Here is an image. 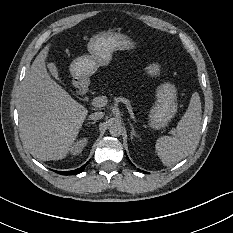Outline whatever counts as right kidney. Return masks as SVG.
Listing matches in <instances>:
<instances>
[{
  "label": "right kidney",
  "mask_w": 233,
  "mask_h": 233,
  "mask_svg": "<svg viewBox=\"0 0 233 233\" xmlns=\"http://www.w3.org/2000/svg\"><path fill=\"white\" fill-rule=\"evenodd\" d=\"M89 144V137H81L75 140L68 148V152L72 156H77L85 149Z\"/></svg>",
  "instance_id": "ca27d5eb"
}]
</instances>
